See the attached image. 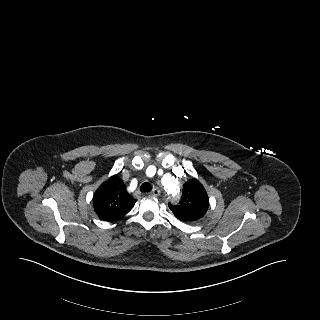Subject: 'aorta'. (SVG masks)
I'll return each instance as SVG.
<instances>
[{
  "instance_id": "1",
  "label": "aorta",
  "mask_w": 320,
  "mask_h": 320,
  "mask_svg": "<svg viewBox=\"0 0 320 320\" xmlns=\"http://www.w3.org/2000/svg\"><path fill=\"white\" fill-rule=\"evenodd\" d=\"M163 181L170 199L174 203L178 202L180 198H179L178 188L176 186L175 180L169 177H165Z\"/></svg>"
}]
</instances>
